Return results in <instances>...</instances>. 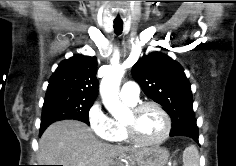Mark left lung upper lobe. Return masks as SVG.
I'll return each instance as SVG.
<instances>
[{"mask_svg":"<svg viewBox=\"0 0 236 166\" xmlns=\"http://www.w3.org/2000/svg\"><path fill=\"white\" fill-rule=\"evenodd\" d=\"M132 74L144 93L164 107L172 125L196 120L191 85L178 62L152 52L138 60Z\"/></svg>","mask_w":236,"mask_h":166,"instance_id":"1","label":"left lung upper lobe"}]
</instances>
